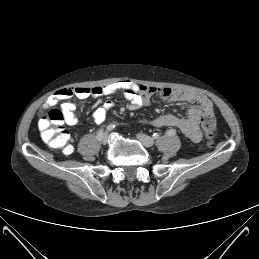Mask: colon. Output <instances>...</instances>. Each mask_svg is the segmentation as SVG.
Here are the masks:
<instances>
[{
	"label": "colon",
	"instance_id": "colon-1",
	"mask_svg": "<svg viewBox=\"0 0 259 259\" xmlns=\"http://www.w3.org/2000/svg\"><path fill=\"white\" fill-rule=\"evenodd\" d=\"M65 117L62 109L52 108L39 120V130L43 140L53 148L61 149L65 154L73 151L72 139L69 132L64 128ZM202 127L207 138L211 141L215 128L216 119L213 115L202 119Z\"/></svg>",
	"mask_w": 259,
	"mask_h": 259
}]
</instances>
